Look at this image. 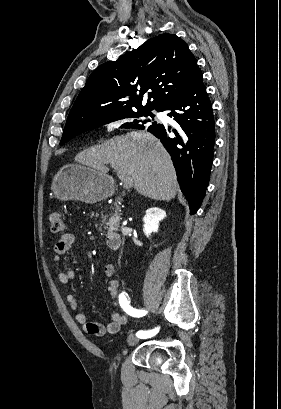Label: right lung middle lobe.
Returning a JSON list of instances; mask_svg holds the SVG:
<instances>
[{"mask_svg":"<svg viewBox=\"0 0 281 409\" xmlns=\"http://www.w3.org/2000/svg\"><path fill=\"white\" fill-rule=\"evenodd\" d=\"M142 116H151L152 118L154 117V115L150 112V111H130V112H123L108 118H105L103 120H100L98 122H95L93 124L84 126V127H69V128H65L64 129V133L62 136V139L60 141V145L68 142L70 139H72L73 137H75L76 135L91 130L93 128H97L100 127L102 125L111 123L113 121H117L120 119H124V118H138V117H142Z\"/></svg>","mask_w":281,"mask_h":409,"instance_id":"right-lung-middle-lobe-1","label":"right lung middle lobe"}]
</instances>
